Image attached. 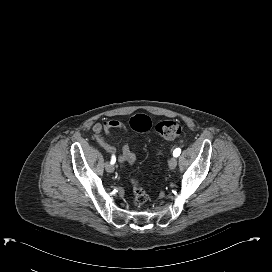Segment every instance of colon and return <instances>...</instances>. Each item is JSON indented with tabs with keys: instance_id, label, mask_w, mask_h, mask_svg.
<instances>
[{
	"instance_id": "colon-1",
	"label": "colon",
	"mask_w": 272,
	"mask_h": 272,
	"mask_svg": "<svg viewBox=\"0 0 272 272\" xmlns=\"http://www.w3.org/2000/svg\"><path fill=\"white\" fill-rule=\"evenodd\" d=\"M129 125L133 131L145 133L151 129L152 121L148 116L138 114L130 119ZM155 130L159 136L164 139H175L181 134L182 125L177 120L166 119L156 123ZM131 183L133 187V203L136 207H141L146 203L148 195L145 190L140 187L136 179L132 178Z\"/></svg>"
}]
</instances>
